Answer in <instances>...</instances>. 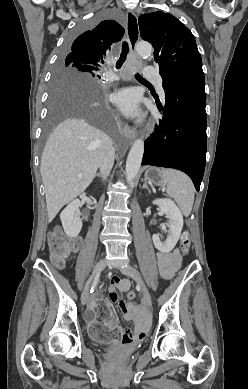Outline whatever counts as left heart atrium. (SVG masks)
<instances>
[{
    "label": "left heart atrium",
    "instance_id": "left-heart-atrium-1",
    "mask_svg": "<svg viewBox=\"0 0 248 389\" xmlns=\"http://www.w3.org/2000/svg\"><path fill=\"white\" fill-rule=\"evenodd\" d=\"M113 100L124 115L128 117L140 115L139 95L134 89L126 88L118 91Z\"/></svg>",
    "mask_w": 248,
    "mask_h": 389
}]
</instances>
